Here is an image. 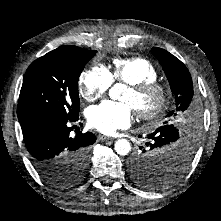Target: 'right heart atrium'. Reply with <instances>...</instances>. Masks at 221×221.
<instances>
[{
	"mask_svg": "<svg viewBox=\"0 0 221 221\" xmlns=\"http://www.w3.org/2000/svg\"><path fill=\"white\" fill-rule=\"evenodd\" d=\"M110 72L103 66H93L81 73L78 81L81 96L93 101L103 96L112 85Z\"/></svg>",
	"mask_w": 221,
	"mask_h": 221,
	"instance_id": "1",
	"label": "right heart atrium"
}]
</instances>
